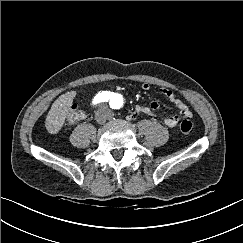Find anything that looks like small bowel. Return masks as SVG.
Listing matches in <instances>:
<instances>
[{
    "instance_id": "small-bowel-1",
    "label": "small bowel",
    "mask_w": 243,
    "mask_h": 243,
    "mask_svg": "<svg viewBox=\"0 0 243 243\" xmlns=\"http://www.w3.org/2000/svg\"><path fill=\"white\" fill-rule=\"evenodd\" d=\"M143 90H149L150 85L147 83H144L142 85ZM160 93L165 96V98L174 104L178 109L179 112L173 115H164L161 117V120L163 123L168 127H174L176 126L180 121L189 119L192 116V113L190 109L188 108L187 104L177 98L175 93L167 88H161ZM160 109V105L158 102L153 101L147 105H137L134 110L130 114V119H135L140 115H155L157 111Z\"/></svg>"
}]
</instances>
